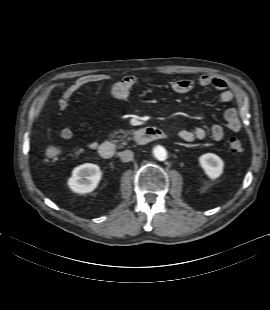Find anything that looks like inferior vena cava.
<instances>
[{
	"label": "inferior vena cava",
	"instance_id": "obj_1",
	"mask_svg": "<svg viewBox=\"0 0 270 310\" xmlns=\"http://www.w3.org/2000/svg\"><path fill=\"white\" fill-rule=\"evenodd\" d=\"M133 152L130 150H125L123 152L120 153V159L122 162H129L133 159Z\"/></svg>",
	"mask_w": 270,
	"mask_h": 310
}]
</instances>
